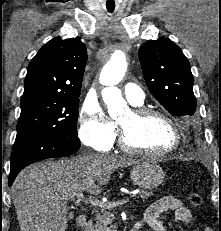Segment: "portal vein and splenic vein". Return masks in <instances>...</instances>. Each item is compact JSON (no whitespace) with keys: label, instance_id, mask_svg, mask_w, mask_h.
Listing matches in <instances>:
<instances>
[{"label":"portal vein and splenic vein","instance_id":"portal-vein-and-splenic-vein-1","mask_svg":"<svg viewBox=\"0 0 221 231\" xmlns=\"http://www.w3.org/2000/svg\"><path fill=\"white\" fill-rule=\"evenodd\" d=\"M78 201H83L85 202L86 204L90 203L94 206H99V207H106L108 209H111V208H114L116 206H119V205H123V204H126L130 201V198L129 197H124L120 200H117L115 202H102L98 199H88V198H85L83 193L82 192H78V194L76 195Z\"/></svg>","mask_w":221,"mask_h":231}]
</instances>
